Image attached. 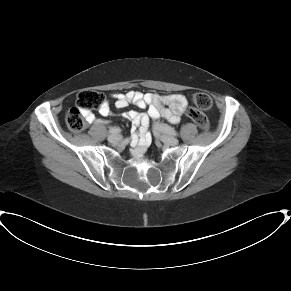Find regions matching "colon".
I'll return each instance as SVG.
<instances>
[{
	"label": "colon",
	"mask_w": 291,
	"mask_h": 291,
	"mask_svg": "<svg viewBox=\"0 0 291 291\" xmlns=\"http://www.w3.org/2000/svg\"><path fill=\"white\" fill-rule=\"evenodd\" d=\"M103 94L94 89L81 90L77 94L76 106L71 108L65 116L67 127L72 132H80L85 127L84 110L95 109L101 106L103 102ZM194 104L202 110L212 108L213 102L211 97L204 92H197L193 95ZM187 114L195 121V123L203 130L209 128L208 118L199 110L189 109Z\"/></svg>",
	"instance_id": "obj_1"
}]
</instances>
